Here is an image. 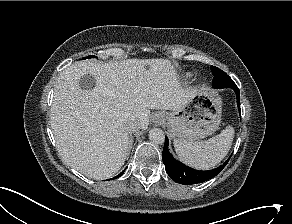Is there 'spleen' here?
<instances>
[{"mask_svg":"<svg viewBox=\"0 0 292 224\" xmlns=\"http://www.w3.org/2000/svg\"><path fill=\"white\" fill-rule=\"evenodd\" d=\"M234 138V128L227 126L222 132L206 141L174 140L177 156L185 164L199 170H208L219 164L228 154Z\"/></svg>","mask_w":292,"mask_h":224,"instance_id":"spleen-1","label":"spleen"}]
</instances>
